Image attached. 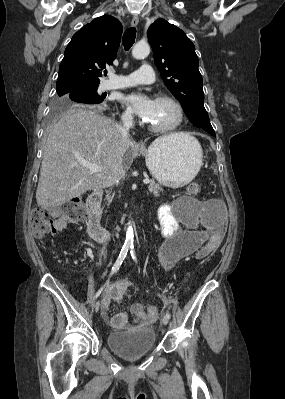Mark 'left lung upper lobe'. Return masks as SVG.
Returning <instances> with one entry per match:
<instances>
[{
    "mask_svg": "<svg viewBox=\"0 0 285 399\" xmlns=\"http://www.w3.org/2000/svg\"><path fill=\"white\" fill-rule=\"evenodd\" d=\"M147 36L164 84L180 101L191 123L214 135L204 108L203 81L194 44L181 29L164 19L151 24Z\"/></svg>",
    "mask_w": 285,
    "mask_h": 399,
    "instance_id": "1",
    "label": "left lung upper lobe"
}]
</instances>
